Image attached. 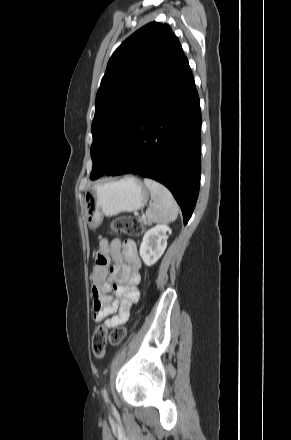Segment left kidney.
I'll use <instances>...</instances> for the list:
<instances>
[{"instance_id": "left-kidney-1", "label": "left kidney", "mask_w": 291, "mask_h": 440, "mask_svg": "<svg viewBox=\"0 0 291 440\" xmlns=\"http://www.w3.org/2000/svg\"><path fill=\"white\" fill-rule=\"evenodd\" d=\"M167 232H172L168 225L158 224L144 234L139 253L147 266L155 264L164 253L167 247Z\"/></svg>"}]
</instances>
